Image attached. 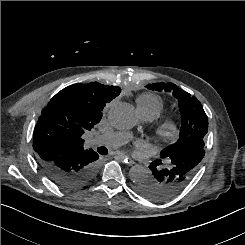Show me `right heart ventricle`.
I'll use <instances>...</instances> for the list:
<instances>
[{
    "label": "right heart ventricle",
    "instance_id": "obj_1",
    "mask_svg": "<svg viewBox=\"0 0 245 245\" xmlns=\"http://www.w3.org/2000/svg\"><path fill=\"white\" fill-rule=\"evenodd\" d=\"M136 103L140 115H150L154 119L158 117L164 109L163 99L156 94H142L137 98Z\"/></svg>",
    "mask_w": 245,
    "mask_h": 245
}]
</instances>
